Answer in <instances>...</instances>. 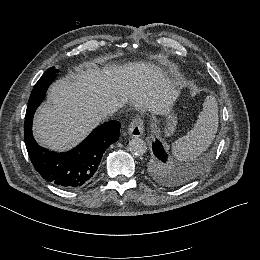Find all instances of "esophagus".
<instances>
[{
	"instance_id": "34e87169",
	"label": "esophagus",
	"mask_w": 260,
	"mask_h": 260,
	"mask_svg": "<svg viewBox=\"0 0 260 260\" xmlns=\"http://www.w3.org/2000/svg\"><path fill=\"white\" fill-rule=\"evenodd\" d=\"M130 137H141L144 133V123L141 118H135L128 128Z\"/></svg>"
}]
</instances>
